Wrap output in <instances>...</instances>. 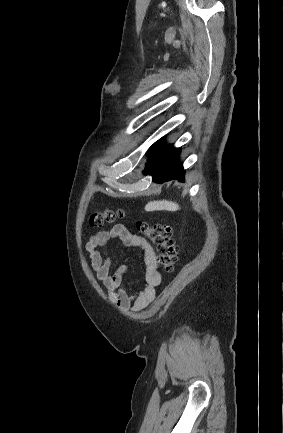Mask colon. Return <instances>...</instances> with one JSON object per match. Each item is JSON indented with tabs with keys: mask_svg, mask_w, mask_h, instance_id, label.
Here are the masks:
<instances>
[{
	"mask_svg": "<svg viewBox=\"0 0 283 433\" xmlns=\"http://www.w3.org/2000/svg\"><path fill=\"white\" fill-rule=\"evenodd\" d=\"M122 216V211L107 209L102 212H94L90 216L89 223L93 227H102L105 224L113 223ZM136 229L156 245L162 268L168 272L173 271L177 262L178 249L173 237L172 227L164 224H150L138 221Z\"/></svg>",
	"mask_w": 283,
	"mask_h": 433,
	"instance_id": "1",
	"label": "colon"
}]
</instances>
